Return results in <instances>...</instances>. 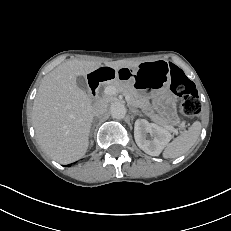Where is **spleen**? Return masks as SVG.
<instances>
[{
	"label": "spleen",
	"mask_w": 231,
	"mask_h": 231,
	"mask_svg": "<svg viewBox=\"0 0 231 231\" xmlns=\"http://www.w3.org/2000/svg\"><path fill=\"white\" fill-rule=\"evenodd\" d=\"M201 132V123L194 122L182 135L166 145L164 158H177L186 153L198 140Z\"/></svg>",
	"instance_id": "3e777b00"
}]
</instances>
